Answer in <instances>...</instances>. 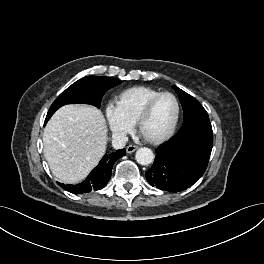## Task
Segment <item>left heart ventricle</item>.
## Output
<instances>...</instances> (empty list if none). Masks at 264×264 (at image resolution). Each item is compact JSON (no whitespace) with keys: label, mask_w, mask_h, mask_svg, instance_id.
<instances>
[{"label":"left heart ventricle","mask_w":264,"mask_h":264,"mask_svg":"<svg viewBox=\"0 0 264 264\" xmlns=\"http://www.w3.org/2000/svg\"><path fill=\"white\" fill-rule=\"evenodd\" d=\"M176 113V105L171 96H163L155 103L149 117L141 128L142 135L157 137L165 133L171 126Z\"/></svg>","instance_id":"b2bd125f"}]
</instances>
